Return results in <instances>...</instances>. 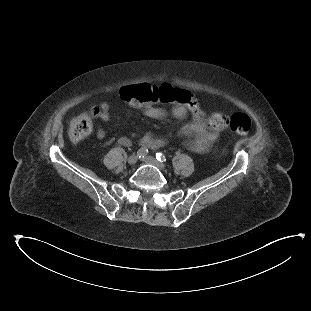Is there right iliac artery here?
<instances>
[{"instance_id":"right-iliac-artery-1","label":"right iliac artery","mask_w":311,"mask_h":311,"mask_svg":"<svg viewBox=\"0 0 311 311\" xmlns=\"http://www.w3.org/2000/svg\"><path fill=\"white\" fill-rule=\"evenodd\" d=\"M148 154V149L147 148H140L138 151H137V157L138 158H144L146 155Z\"/></svg>"}]
</instances>
